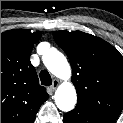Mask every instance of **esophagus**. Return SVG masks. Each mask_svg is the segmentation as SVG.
<instances>
[{"label":"esophagus","mask_w":123,"mask_h":123,"mask_svg":"<svg viewBox=\"0 0 123 123\" xmlns=\"http://www.w3.org/2000/svg\"><path fill=\"white\" fill-rule=\"evenodd\" d=\"M59 85V80L58 79H54L52 82V85L50 86L51 90L54 91Z\"/></svg>","instance_id":"1"}]
</instances>
